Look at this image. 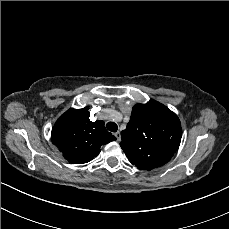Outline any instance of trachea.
Here are the masks:
<instances>
[{"label":"trachea","mask_w":229,"mask_h":229,"mask_svg":"<svg viewBox=\"0 0 229 229\" xmlns=\"http://www.w3.org/2000/svg\"><path fill=\"white\" fill-rule=\"evenodd\" d=\"M107 129L111 132H116L118 130V126L114 122H108L106 125Z\"/></svg>","instance_id":"obj_1"}]
</instances>
